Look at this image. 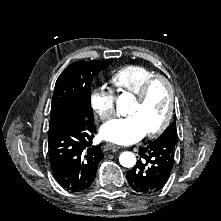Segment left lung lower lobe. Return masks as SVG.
<instances>
[{"mask_svg":"<svg viewBox=\"0 0 221 221\" xmlns=\"http://www.w3.org/2000/svg\"><path fill=\"white\" fill-rule=\"evenodd\" d=\"M177 141L160 138L139 149L136 166L127 171L131 188L140 194H153L167 183L174 164Z\"/></svg>","mask_w":221,"mask_h":221,"instance_id":"left-lung-lower-lobe-1","label":"left lung lower lobe"}]
</instances>
